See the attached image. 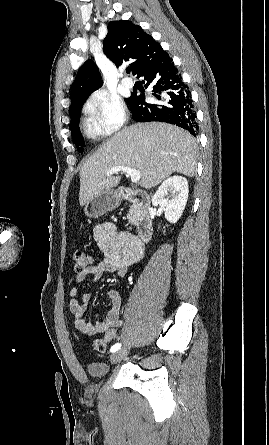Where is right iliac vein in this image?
<instances>
[{"label": "right iliac vein", "mask_w": 269, "mask_h": 445, "mask_svg": "<svg viewBox=\"0 0 269 445\" xmlns=\"http://www.w3.org/2000/svg\"><path fill=\"white\" fill-rule=\"evenodd\" d=\"M127 354H128L127 349H122V350L115 352L110 358L111 363L116 364V363L122 361L127 356Z\"/></svg>", "instance_id": "right-iliac-vein-1"}]
</instances>
